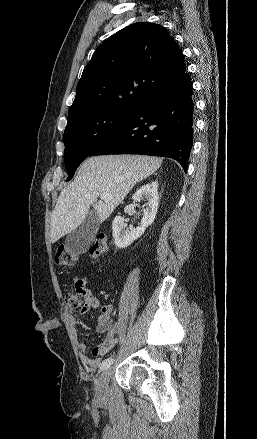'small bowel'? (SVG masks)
<instances>
[{
    "mask_svg": "<svg viewBox=\"0 0 257 439\" xmlns=\"http://www.w3.org/2000/svg\"><path fill=\"white\" fill-rule=\"evenodd\" d=\"M85 279H76L75 287H81L86 291V299L82 313H87L91 309L100 308V313L97 317L95 330L99 333H105L104 340L95 346L91 355L87 353L88 347L84 342L78 344L80 350V360L88 372H93L101 366L103 360L102 356L109 353L119 342L117 338V326L114 324L111 314L113 312V305L111 303L100 304L97 297L93 296L91 292L86 288ZM72 323H76L73 316H70Z\"/></svg>",
    "mask_w": 257,
    "mask_h": 439,
    "instance_id": "1",
    "label": "small bowel"
}]
</instances>
